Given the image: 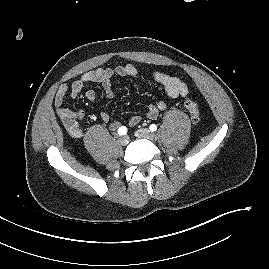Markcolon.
Masks as SVG:
<instances>
[{
	"instance_id": "colon-1",
	"label": "colon",
	"mask_w": 269,
	"mask_h": 269,
	"mask_svg": "<svg viewBox=\"0 0 269 269\" xmlns=\"http://www.w3.org/2000/svg\"><path fill=\"white\" fill-rule=\"evenodd\" d=\"M184 106L188 110L192 122L197 124L200 121V113L197 103L192 98L188 97L184 101Z\"/></svg>"
}]
</instances>
